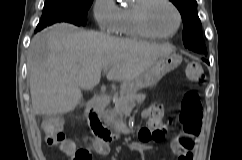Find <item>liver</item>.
<instances>
[{
	"label": "liver",
	"instance_id": "liver-1",
	"mask_svg": "<svg viewBox=\"0 0 242 160\" xmlns=\"http://www.w3.org/2000/svg\"><path fill=\"white\" fill-rule=\"evenodd\" d=\"M171 44L110 37L68 23L55 24L31 41L28 71L32 108L37 115L75 109L81 89L99 84L104 66L108 80L137 79L155 61L172 54Z\"/></svg>",
	"mask_w": 242,
	"mask_h": 160
}]
</instances>
